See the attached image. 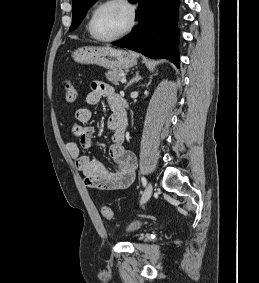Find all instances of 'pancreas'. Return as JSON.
Listing matches in <instances>:
<instances>
[{
	"mask_svg": "<svg viewBox=\"0 0 259 283\" xmlns=\"http://www.w3.org/2000/svg\"><path fill=\"white\" fill-rule=\"evenodd\" d=\"M124 75V71L123 70H112V71H108L105 76L106 78L113 83L114 85H118L119 81L122 79Z\"/></svg>",
	"mask_w": 259,
	"mask_h": 283,
	"instance_id": "cf45deb5",
	"label": "pancreas"
}]
</instances>
